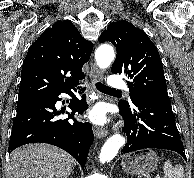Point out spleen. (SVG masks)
Listing matches in <instances>:
<instances>
[{
	"label": "spleen",
	"instance_id": "spleen-1",
	"mask_svg": "<svg viewBox=\"0 0 194 178\" xmlns=\"http://www.w3.org/2000/svg\"><path fill=\"white\" fill-rule=\"evenodd\" d=\"M163 171L165 178H184V168L182 165H173L170 160L165 161Z\"/></svg>",
	"mask_w": 194,
	"mask_h": 178
}]
</instances>
